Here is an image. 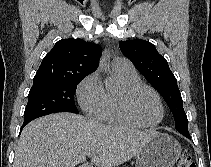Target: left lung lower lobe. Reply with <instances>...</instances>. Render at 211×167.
<instances>
[{"mask_svg": "<svg viewBox=\"0 0 211 167\" xmlns=\"http://www.w3.org/2000/svg\"><path fill=\"white\" fill-rule=\"evenodd\" d=\"M182 135L186 136L187 138H190L189 133H183Z\"/></svg>", "mask_w": 211, "mask_h": 167, "instance_id": "1", "label": "left lung lower lobe"}]
</instances>
